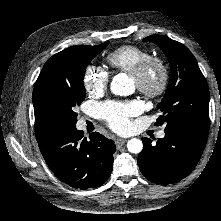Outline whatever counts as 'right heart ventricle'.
<instances>
[{
    "label": "right heart ventricle",
    "instance_id": "right-heart-ventricle-1",
    "mask_svg": "<svg viewBox=\"0 0 221 221\" xmlns=\"http://www.w3.org/2000/svg\"><path fill=\"white\" fill-rule=\"evenodd\" d=\"M151 56L148 50L141 47L123 45L109 52L106 61L113 72L131 74L138 65Z\"/></svg>",
    "mask_w": 221,
    "mask_h": 221
}]
</instances>
